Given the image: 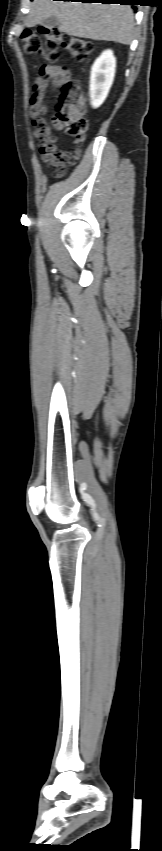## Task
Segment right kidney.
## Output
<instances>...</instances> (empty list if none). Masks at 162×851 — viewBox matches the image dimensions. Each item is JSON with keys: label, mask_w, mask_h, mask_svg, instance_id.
<instances>
[{"label": "right kidney", "mask_w": 162, "mask_h": 851, "mask_svg": "<svg viewBox=\"0 0 162 851\" xmlns=\"http://www.w3.org/2000/svg\"><path fill=\"white\" fill-rule=\"evenodd\" d=\"M116 59L112 50H105L94 62L90 75V100L93 108L105 101L112 86Z\"/></svg>", "instance_id": "1"}]
</instances>
